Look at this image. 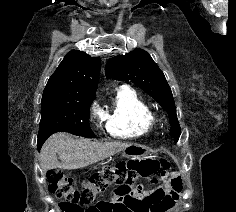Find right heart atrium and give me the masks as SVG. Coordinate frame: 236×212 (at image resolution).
<instances>
[{"instance_id":"right-heart-atrium-1","label":"right heart atrium","mask_w":236,"mask_h":212,"mask_svg":"<svg viewBox=\"0 0 236 212\" xmlns=\"http://www.w3.org/2000/svg\"><path fill=\"white\" fill-rule=\"evenodd\" d=\"M92 113H93L94 115H96L98 118L103 119L101 113L99 112V110L97 109L96 106H94V107L92 108Z\"/></svg>"}]
</instances>
